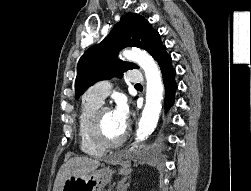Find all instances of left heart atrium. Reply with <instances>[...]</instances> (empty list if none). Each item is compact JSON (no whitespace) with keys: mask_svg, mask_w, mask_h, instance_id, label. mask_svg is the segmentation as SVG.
<instances>
[{"mask_svg":"<svg viewBox=\"0 0 251 191\" xmlns=\"http://www.w3.org/2000/svg\"><path fill=\"white\" fill-rule=\"evenodd\" d=\"M110 112L116 125L124 131L129 118L128 106L123 102H119Z\"/></svg>","mask_w":251,"mask_h":191,"instance_id":"obj_1","label":"left heart atrium"}]
</instances>
